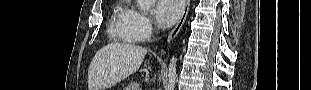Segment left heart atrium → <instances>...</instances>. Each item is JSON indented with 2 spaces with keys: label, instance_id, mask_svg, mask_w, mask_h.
<instances>
[{
  "label": "left heart atrium",
  "instance_id": "39dd6f15",
  "mask_svg": "<svg viewBox=\"0 0 311 90\" xmlns=\"http://www.w3.org/2000/svg\"><path fill=\"white\" fill-rule=\"evenodd\" d=\"M183 10L181 0H160L155 8V15L158 24L162 28L172 26L180 17Z\"/></svg>",
  "mask_w": 311,
  "mask_h": 90
}]
</instances>
